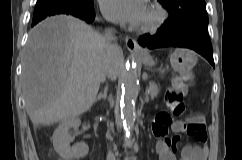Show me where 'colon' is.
I'll return each instance as SVG.
<instances>
[{"instance_id":"obj_1","label":"colon","mask_w":242,"mask_h":160,"mask_svg":"<svg viewBox=\"0 0 242 160\" xmlns=\"http://www.w3.org/2000/svg\"><path fill=\"white\" fill-rule=\"evenodd\" d=\"M187 77L178 78L173 82L166 94V105L170 113L161 111L157 114L154 124V133H166L168 126L172 122V117H177L184 112L183 96L188 90ZM188 134H192L196 141H204L207 138L205 127L201 124L194 129H189Z\"/></svg>"}]
</instances>
